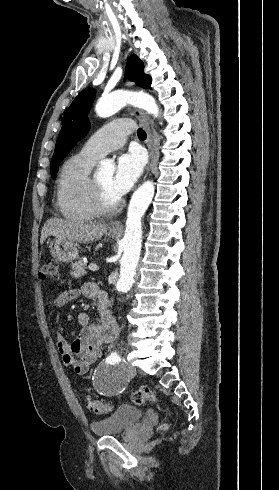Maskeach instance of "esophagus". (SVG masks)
I'll use <instances>...</instances> for the list:
<instances>
[{"instance_id": "1", "label": "esophagus", "mask_w": 279, "mask_h": 490, "mask_svg": "<svg viewBox=\"0 0 279 490\" xmlns=\"http://www.w3.org/2000/svg\"><path fill=\"white\" fill-rule=\"evenodd\" d=\"M134 115L138 118L139 122L143 125L146 134H147V139H146V145L148 149V163L146 165V174L144 178H146L148 172L152 168H156V149L154 145V140H153V135L151 131V127L149 125V121L143 112V110H139L137 108L133 109ZM111 229H120L122 228V224L119 221H114L110 224Z\"/></svg>"}]
</instances>
